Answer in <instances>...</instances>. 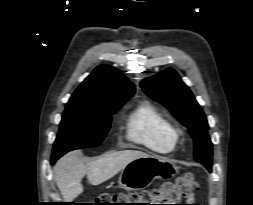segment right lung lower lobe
Here are the masks:
<instances>
[{
  "instance_id": "obj_1",
  "label": "right lung lower lobe",
  "mask_w": 253,
  "mask_h": 205,
  "mask_svg": "<svg viewBox=\"0 0 253 205\" xmlns=\"http://www.w3.org/2000/svg\"><path fill=\"white\" fill-rule=\"evenodd\" d=\"M55 161H56L55 159H52V160H51V163H52V164H54V163H55Z\"/></svg>"
}]
</instances>
